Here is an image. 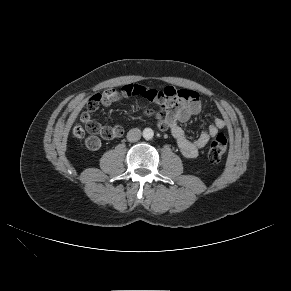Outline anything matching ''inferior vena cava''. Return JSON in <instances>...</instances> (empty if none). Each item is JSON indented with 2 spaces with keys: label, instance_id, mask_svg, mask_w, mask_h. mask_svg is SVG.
<instances>
[{
  "label": "inferior vena cava",
  "instance_id": "obj_1",
  "mask_svg": "<svg viewBox=\"0 0 291 291\" xmlns=\"http://www.w3.org/2000/svg\"><path fill=\"white\" fill-rule=\"evenodd\" d=\"M141 138V130L138 128H133L127 133V140L129 142H136Z\"/></svg>",
  "mask_w": 291,
  "mask_h": 291
}]
</instances>
